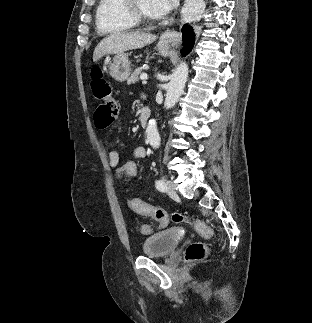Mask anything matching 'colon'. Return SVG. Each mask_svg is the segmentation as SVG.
Listing matches in <instances>:
<instances>
[{
	"instance_id": "5ec220e1",
	"label": "colon",
	"mask_w": 312,
	"mask_h": 323,
	"mask_svg": "<svg viewBox=\"0 0 312 323\" xmlns=\"http://www.w3.org/2000/svg\"><path fill=\"white\" fill-rule=\"evenodd\" d=\"M91 90L94 97L99 101L94 113L95 126L99 130L107 128L119 114V104L113 96V90L110 83L106 79L93 78L91 80ZM123 170L127 171L128 175H136L137 170L134 160H129L123 165ZM127 202L131 204L132 213H155L154 218L157 220V229L166 228L170 223H167L168 215L161 210L160 206H151L150 202H137L136 197H129ZM173 223H181L189 221L188 216L183 213H174ZM192 227L196 232L203 233L207 236H213V231L200 219L193 220ZM139 231L147 234L153 231L150 225H142ZM207 248L201 242L190 244L186 248L185 258L189 262H199L205 258Z\"/></svg>"
}]
</instances>
